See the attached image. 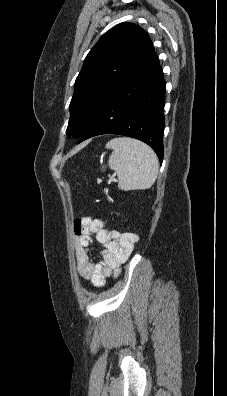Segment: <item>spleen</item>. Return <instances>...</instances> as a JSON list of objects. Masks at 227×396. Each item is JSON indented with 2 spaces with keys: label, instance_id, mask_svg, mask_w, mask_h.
Returning <instances> with one entry per match:
<instances>
[{
  "label": "spleen",
  "instance_id": "obj_1",
  "mask_svg": "<svg viewBox=\"0 0 227 396\" xmlns=\"http://www.w3.org/2000/svg\"><path fill=\"white\" fill-rule=\"evenodd\" d=\"M106 148L113 150L108 165L117 174L121 190H143L154 184L158 175V158L147 144L119 137L110 140Z\"/></svg>",
  "mask_w": 227,
  "mask_h": 396
}]
</instances>
